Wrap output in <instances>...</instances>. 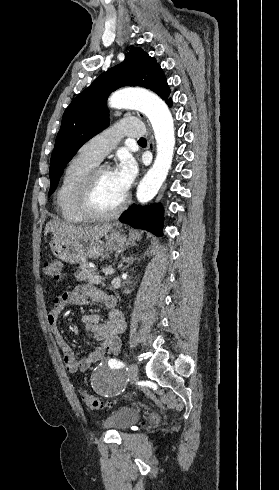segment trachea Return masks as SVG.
<instances>
[{"label":"trachea","mask_w":279,"mask_h":490,"mask_svg":"<svg viewBox=\"0 0 279 490\" xmlns=\"http://www.w3.org/2000/svg\"><path fill=\"white\" fill-rule=\"evenodd\" d=\"M138 143H146V139H145V138H140V139L138 140Z\"/></svg>","instance_id":"3493384b"}]
</instances>
